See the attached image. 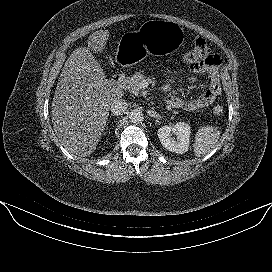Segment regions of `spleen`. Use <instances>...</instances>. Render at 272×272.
Listing matches in <instances>:
<instances>
[{"label":"spleen","mask_w":272,"mask_h":272,"mask_svg":"<svg viewBox=\"0 0 272 272\" xmlns=\"http://www.w3.org/2000/svg\"><path fill=\"white\" fill-rule=\"evenodd\" d=\"M220 134L221 131L216 126L207 125L199 128L193 144L194 155L196 157H202L208 154L217 144Z\"/></svg>","instance_id":"3e777b00"}]
</instances>
